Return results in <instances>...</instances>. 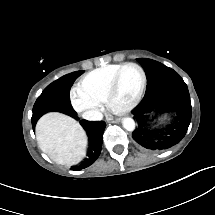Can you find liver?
<instances>
[{"mask_svg":"<svg viewBox=\"0 0 215 215\" xmlns=\"http://www.w3.org/2000/svg\"><path fill=\"white\" fill-rule=\"evenodd\" d=\"M40 149L58 164L72 166L86 156L87 136L79 122L58 113H47L36 125Z\"/></svg>","mask_w":215,"mask_h":215,"instance_id":"6515ba94","label":"liver"}]
</instances>
